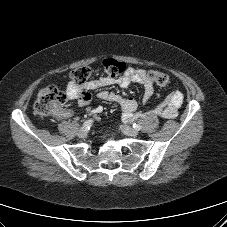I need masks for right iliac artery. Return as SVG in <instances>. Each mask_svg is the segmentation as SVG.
Masks as SVG:
<instances>
[{
  "label": "right iliac artery",
  "mask_w": 227,
  "mask_h": 227,
  "mask_svg": "<svg viewBox=\"0 0 227 227\" xmlns=\"http://www.w3.org/2000/svg\"><path fill=\"white\" fill-rule=\"evenodd\" d=\"M92 124H93V120L89 119L83 123V128L89 129Z\"/></svg>",
  "instance_id": "82829eb1"
}]
</instances>
